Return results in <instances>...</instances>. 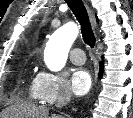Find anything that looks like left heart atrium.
<instances>
[{
	"label": "left heart atrium",
	"instance_id": "1",
	"mask_svg": "<svg viewBox=\"0 0 133 118\" xmlns=\"http://www.w3.org/2000/svg\"><path fill=\"white\" fill-rule=\"evenodd\" d=\"M92 79L85 69H76L71 76V89L76 95H85L91 88Z\"/></svg>",
	"mask_w": 133,
	"mask_h": 118
}]
</instances>
